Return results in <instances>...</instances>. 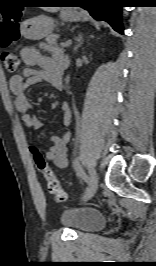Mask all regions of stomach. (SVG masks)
<instances>
[{"instance_id": "0dacf381", "label": "stomach", "mask_w": 156, "mask_h": 266, "mask_svg": "<svg viewBox=\"0 0 156 266\" xmlns=\"http://www.w3.org/2000/svg\"><path fill=\"white\" fill-rule=\"evenodd\" d=\"M60 16L63 21H78L81 18V14L75 9H62ZM54 28V21L50 17L41 15L24 22L21 32L29 39L40 40L52 34Z\"/></svg>"}]
</instances>
